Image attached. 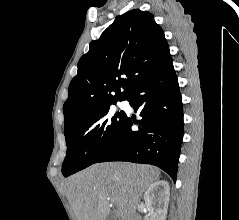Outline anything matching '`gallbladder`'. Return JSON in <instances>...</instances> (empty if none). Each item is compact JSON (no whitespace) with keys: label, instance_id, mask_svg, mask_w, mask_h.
I'll return each instance as SVG.
<instances>
[{"label":"gallbladder","instance_id":"obj_1","mask_svg":"<svg viewBox=\"0 0 239 220\" xmlns=\"http://www.w3.org/2000/svg\"><path fill=\"white\" fill-rule=\"evenodd\" d=\"M106 220H116L115 216L110 214Z\"/></svg>","mask_w":239,"mask_h":220}]
</instances>
